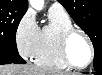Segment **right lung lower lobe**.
<instances>
[{
  "instance_id": "right-lung-lower-lobe-1",
  "label": "right lung lower lobe",
  "mask_w": 102,
  "mask_h": 75,
  "mask_svg": "<svg viewBox=\"0 0 102 75\" xmlns=\"http://www.w3.org/2000/svg\"><path fill=\"white\" fill-rule=\"evenodd\" d=\"M24 64L26 63L20 56L19 53L2 52L0 53V64Z\"/></svg>"
}]
</instances>
